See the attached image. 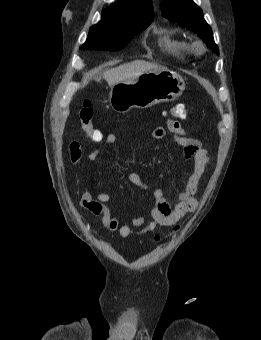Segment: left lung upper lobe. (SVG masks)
Masks as SVG:
<instances>
[{"mask_svg": "<svg viewBox=\"0 0 261 340\" xmlns=\"http://www.w3.org/2000/svg\"><path fill=\"white\" fill-rule=\"evenodd\" d=\"M162 16L198 34L219 55V49L214 42L212 29L204 20L202 10L192 0H164Z\"/></svg>", "mask_w": 261, "mask_h": 340, "instance_id": "5c2ea615", "label": "left lung upper lobe"}]
</instances>
